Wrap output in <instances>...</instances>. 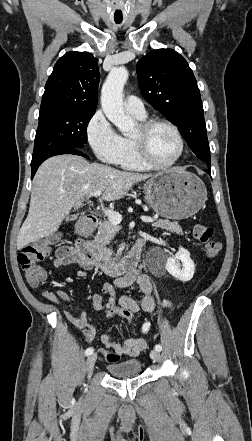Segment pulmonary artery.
<instances>
[{"label":"pulmonary artery","instance_id":"1","mask_svg":"<svg viewBox=\"0 0 252 441\" xmlns=\"http://www.w3.org/2000/svg\"><path fill=\"white\" fill-rule=\"evenodd\" d=\"M124 108L125 110L136 116V117H145L146 116V110L142 103V101L133 95H129L124 100Z\"/></svg>","mask_w":252,"mask_h":441}]
</instances>
